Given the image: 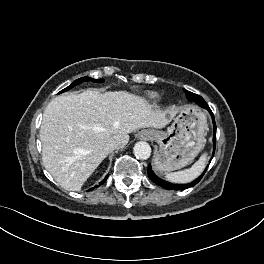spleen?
<instances>
[{
  "label": "spleen",
  "mask_w": 264,
  "mask_h": 264,
  "mask_svg": "<svg viewBox=\"0 0 264 264\" xmlns=\"http://www.w3.org/2000/svg\"><path fill=\"white\" fill-rule=\"evenodd\" d=\"M207 161V154L201 155L199 160L195 162L191 168L178 172L167 173L165 178L173 183H188L196 179L204 170Z\"/></svg>",
  "instance_id": "spleen-1"
}]
</instances>
